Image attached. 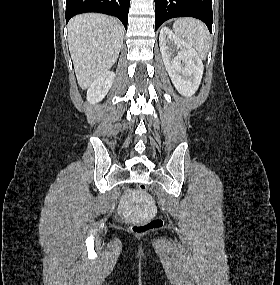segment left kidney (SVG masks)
Listing matches in <instances>:
<instances>
[{
	"instance_id": "1",
	"label": "left kidney",
	"mask_w": 280,
	"mask_h": 285,
	"mask_svg": "<svg viewBox=\"0 0 280 285\" xmlns=\"http://www.w3.org/2000/svg\"><path fill=\"white\" fill-rule=\"evenodd\" d=\"M159 45L173 85L183 96H192L197 91L203 75L204 66L201 58L168 27L160 30Z\"/></svg>"
}]
</instances>
